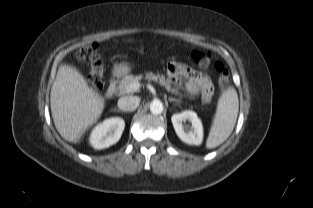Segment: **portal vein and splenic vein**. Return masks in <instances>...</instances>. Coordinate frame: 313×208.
Returning a JSON list of instances; mask_svg holds the SVG:
<instances>
[{"instance_id": "portal-vein-and-splenic-vein-1", "label": "portal vein and splenic vein", "mask_w": 313, "mask_h": 208, "mask_svg": "<svg viewBox=\"0 0 313 208\" xmlns=\"http://www.w3.org/2000/svg\"><path fill=\"white\" fill-rule=\"evenodd\" d=\"M139 87H140V84L138 82H134L130 85V90L136 91L139 89Z\"/></svg>"}]
</instances>
